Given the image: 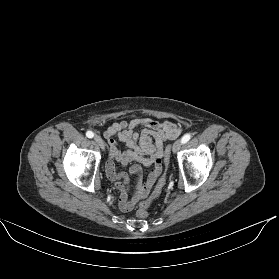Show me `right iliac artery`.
I'll use <instances>...</instances> for the list:
<instances>
[{"instance_id": "1", "label": "right iliac artery", "mask_w": 279, "mask_h": 279, "mask_svg": "<svg viewBox=\"0 0 279 279\" xmlns=\"http://www.w3.org/2000/svg\"><path fill=\"white\" fill-rule=\"evenodd\" d=\"M86 136H87L88 138H93L94 133H93L92 131H87V132H86Z\"/></svg>"}]
</instances>
